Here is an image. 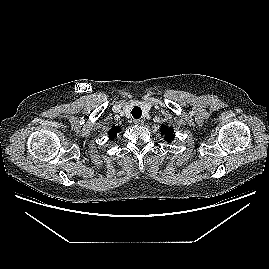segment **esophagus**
<instances>
[{"label": "esophagus", "instance_id": "esophagus-1", "mask_svg": "<svg viewBox=\"0 0 269 269\" xmlns=\"http://www.w3.org/2000/svg\"><path fill=\"white\" fill-rule=\"evenodd\" d=\"M134 124H136L138 126H142L144 124V121L142 119H135Z\"/></svg>", "mask_w": 269, "mask_h": 269}]
</instances>
